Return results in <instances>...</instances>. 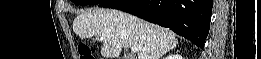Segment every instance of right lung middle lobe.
Returning <instances> with one entry per match:
<instances>
[{"instance_id": "1", "label": "right lung middle lobe", "mask_w": 261, "mask_h": 59, "mask_svg": "<svg viewBox=\"0 0 261 59\" xmlns=\"http://www.w3.org/2000/svg\"><path fill=\"white\" fill-rule=\"evenodd\" d=\"M103 0H73L76 5H94L99 4Z\"/></svg>"}]
</instances>
